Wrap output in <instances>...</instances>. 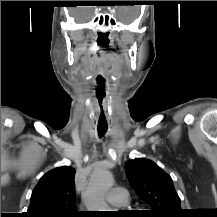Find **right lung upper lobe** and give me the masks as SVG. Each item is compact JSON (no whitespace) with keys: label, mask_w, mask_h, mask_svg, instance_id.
<instances>
[{"label":"right lung upper lobe","mask_w":217,"mask_h":217,"mask_svg":"<svg viewBox=\"0 0 217 217\" xmlns=\"http://www.w3.org/2000/svg\"><path fill=\"white\" fill-rule=\"evenodd\" d=\"M75 169L62 166L44 174L36 185L26 217L78 215L75 205Z\"/></svg>","instance_id":"obj_1"}]
</instances>
